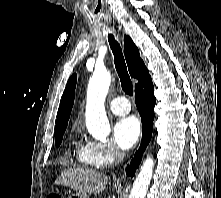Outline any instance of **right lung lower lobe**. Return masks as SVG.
Returning <instances> with one entry per match:
<instances>
[{
  "label": "right lung lower lobe",
  "mask_w": 221,
  "mask_h": 198,
  "mask_svg": "<svg viewBox=\"0 0 221 198\" xmlns=\"http://www.w3.org/2000/svg\"><path fill=\"white\" fill-rule=\"evenodd\" d=\"M135 102L142 120V142L139 151L135 153L130 166L127 168V175L131 177L134 176L136 168L141 162V156L152 136L156 98L151 78L135 89Z\"/></svg>",
  "instance_id": "right-lung-lower-lobe-1"
}]
</instances>
